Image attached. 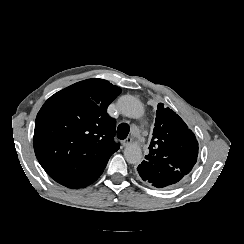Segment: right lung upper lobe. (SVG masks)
Segmentation results:
<instances>
[{
  "label": "right lung upper lobe",
  "mask_w": 244,
  "mask_h": 244,
  "mask_svg": "<svg viewBox=\"0 0 244 244\" xmlns=\"http://www.w3.org/2000/svg\"><path fill=\"white\" fill-rule=\"evenodd\" d=\"M121 89L103 79H87L51 96L36 117L34 150L58 183L86 180L119 149L115 120L106 113Z\"/></svg>",
  "instance_id": "cb5924a9"
}]
</instances>
